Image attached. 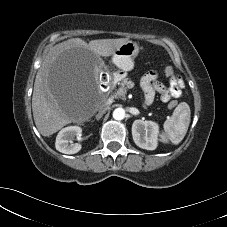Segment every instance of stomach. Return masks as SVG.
<instances>
[{"instance_id":"stomach-1","label":"stomach","mask_w":227,"mask_h":227,"mask_svg":"<svg viewBox=\"0 0 227 227\" xmlns=\"http://www.w3.org/2000/svg\"><path fill=\"white\" fill-rule=\"evenodd\" d=\"M139 53V46L136 42L127 41L113 53V63L123 71H130L134 67V59Z\"/></svg>"}]
</instances>
